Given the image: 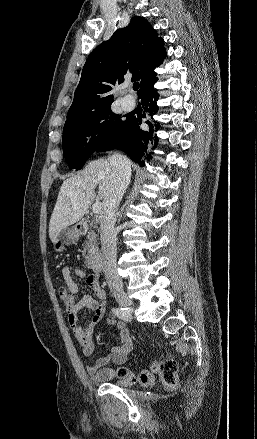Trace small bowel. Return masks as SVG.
<instances>
[{"instance_id":"obj_1","label":"small bowel","mask_w":257,"mask_h":439,"mask_svg":"<svg viewBox=\"0 0 257 439\" xmlns=\"http://www.w3.org/2000/svg\"><path fill=\"white\" fill-rule=\"evenodd\" d=\"M64 282L69 290L76 293L77 285L72 277V270L64 266L61 270ZM79 276H85L81 270H75ZM86 284L93 294H85L68 312V323L73 331L74 337L81 346L84 356L89 357L94 351L93 333L96 325L102 320L106 310V294L100 286L96 275L86 276ZM83 309L92 310L88 323L83 326L79 321V312ZM108 324L115 325L120 330V343L114 346L106 356L98 357L86 366V372L94 382H108L116 377L118 369L110 368L107 365L113 363L122 365L127 360L133 348V342L129 330L122 322L113 318L108 319Z\"/></svg>"}]
</instances>
